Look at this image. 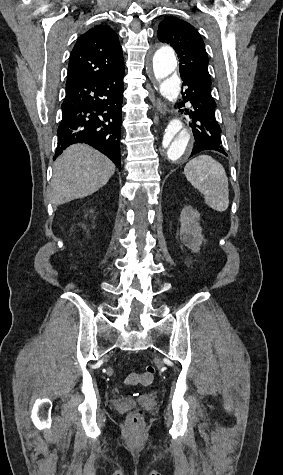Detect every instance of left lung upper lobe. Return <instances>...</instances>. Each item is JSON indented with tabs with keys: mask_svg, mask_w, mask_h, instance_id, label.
Here are the masks:
<instances>
[{
	"mask_svg": "<svg viewBox=\"0 0 283 475\" xmlns=\"http://www.w3.org/2000/svg\"><path fill=\"white\" fill-rule=\"evenodd\" d=\"M157 36L177 52L180 74L194 73L210 79L204 42L191 24L176 17H168L160 22Z\"/></svg>",
	"mask_w": 283,
	"mask_h": 475,
	"instance_id": "1",
	"label": "left lung upper lobe"
}]
</instances>
